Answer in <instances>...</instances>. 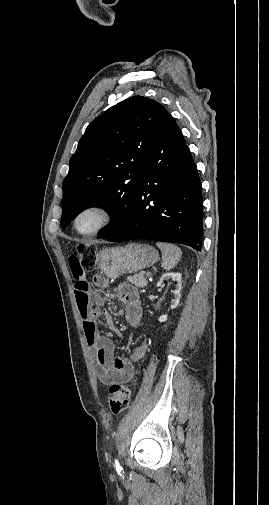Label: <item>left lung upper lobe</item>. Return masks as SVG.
<instances>
[{"label":"left lung upper lobe","instance_id":"left-lung-upper-lobe-1","mask_svg":"<svg viewBox=\"0 0 269 505\" xmlns=\"http://www.w3.org/2000/svg\"><path fill=\"white\" fill-rule=\"evenodd\" d=\"M167 113L157 101L133 96L89 124L62 185L63 229L90 206H104L113 215L102 237L130 218L149 145Z\"/></svg>","mask_w":269,"mask_h":505}]
</instances>
